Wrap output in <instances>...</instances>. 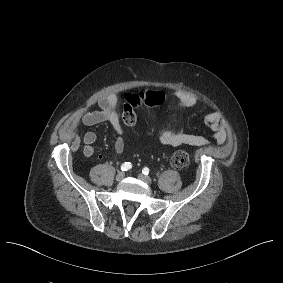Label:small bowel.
<instances>
[{"mask_svg":"<svg viewBox=\"0 0 283 283\" xmlns=\"http://www.w3.org/2000/svg\"><path fill=\"white\" fill-rule=\"evenodd\" d=\"M181 108H192L197 103V98L183 90H176L174 93ZM118 100L115 95H108L98 100V110L84 111L82 114L69 119L65 126V131L69 135H74L80 123L86 126H93L103 122H109L116 134L114 141V151L117 154L123 152L125 147L124 129L120 123L117 111ZM205 125L213 132V137L218 144H223L227 138V124L222 114L218 111L210 112L204 117ZM97 136L94 132L88 131L82 136L83 154L92 157L95 153L94 143ZM158 140L162 144L170 146L190 145L203 146L209 143L204 136L190 134L182 130H166L158 134ZM99 158H102L100 155Z\"/></svg>","mask_w":283,"mask_h":283,"instance_id":"obj_1","label":"small bowel"}]
</instances>
